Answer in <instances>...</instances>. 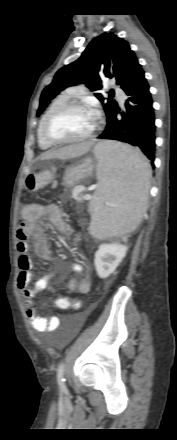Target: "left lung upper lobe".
Returning a JSON list of instances; mask_svg holds the SVG:
<instances>
[{
    "label": "left lung upper lobe",
    "mask_w": 177,
    "mask_h": 440,
    "mask_svg": "<svg viewBox=\"0 0 177 440\" xmlns=\"http://www.w3.org/2000/svg\"><path fill=\"white\" fill-rule=\"evenodd\" d=\"M141 69L128 42L113 32H105L90 42L78 60L62 67L55 74L52 83L41 94L37 116L67 87L84 83L92 91H96L102 88L104 78H114L116 84L125 90ZM95 96L103 103L104 98L100 93H95ZM103 107L108 117L117 107V103L108 99Z\"/></svg>",
    "instance_id": "obj_1"
}]
</instances>
